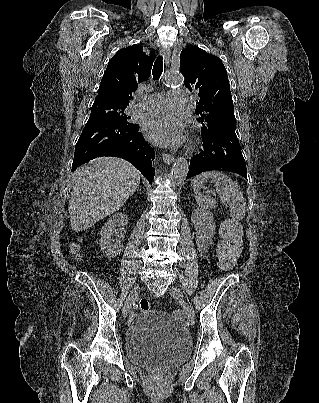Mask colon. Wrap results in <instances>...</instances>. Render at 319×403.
<instances>
[{
    "mask_svg": "<svg viewBox=\"0 0 319 403\" xmlns=\"http://www.w3.org/2000/svg\"><path fill=\"white\" fill-rule=\"evenodd\" d=\"M222 240L219 242L218 263L222 269H230L236 263L242 252V230L236 221H226L221 226ZM72 253L76 258L80 257V249L74 244L71 247ZM139 308L143 312L150 310V302L142 298L139 301Z\"/></svg>",
    "mask_w": 319,
    "mask_h": 403,
    "instance_id": "1",
    "label": "colon"
}]
</instances>
